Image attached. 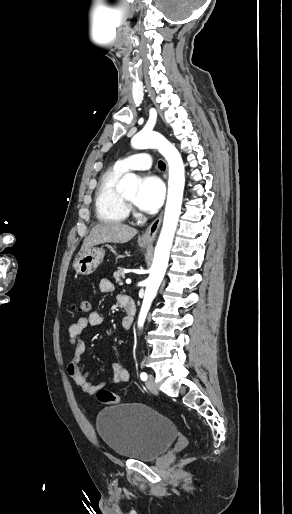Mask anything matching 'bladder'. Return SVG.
Here are the masks:
<instances>
[{"mask_svg": "<svg viewBox=\"0 0 292 514\" xmlns=\"http://www.w3.org/2000/svg\"><path fill=\"white\" fill-rule=\"evenodd\" d=\"M101 440L117 456L152 461L176 440L177 427L148 406L127 403L106 407L96 417Z\"/></svg>", "mask_w": 292, "mask_h": 514, "instance_id": "1", "label": "bladder"}]
</instances>
